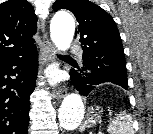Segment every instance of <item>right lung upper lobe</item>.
<instances>
[{"instance_id":"right-lung-upper-lobe-1","label":"right lung upper lobe","mask_w":153,"mask_h":134,"mask_svg":"<svg viewBox=\"0 0 153 134\" xmlns=\"http://www.w3.org/2000/svg\"><path fill=\"white\" fill-rule=\"evenodd\" d=\"M37 17L26 0H9L0 4V63L20 56L33 48Z\"/></svg>"}]
</instances>
